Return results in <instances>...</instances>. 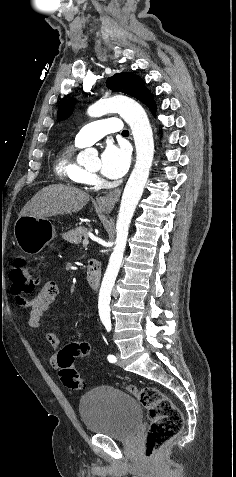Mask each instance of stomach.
Masks as SVG:
<instances>
[{
  "instance_id": "obj_1",
  "label": "stomach",
  "mask_w": 236,
  "mask_h": 477,
  "mask_svg": "<svg viewBox=\"0 0 236 477\" xmlns=\"http://www.w3.org/2000/svg\"><path fill=\"white\" fill-rule=\"evenodd\" d=\"M104 212L110 208L100 206ZM14 236L20 249L28 255H36L56 236L54 225L46 218L22 216L14 225Z\"/></svg>"
}]
</instances>
